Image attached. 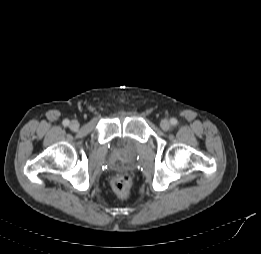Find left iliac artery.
<instances>
[{
	"label": "left iliac artery",
	"mask_w": 261,
	"mask_h": 254,
	"mask_svg": "<svg viewBox=\"0 0 261 254\" xmlns=\"http://www.w3.org/2000/svg\"><path fill=\"white\" fill-rule=\"evenodd\" d=\"M170 122H171V124H172L173 126L177 125V123H178V121H177L176 118H172V119L170 120Z\"/></svg>",
	"instance_id": "left-iliac-artery-1"
}]
</instances>
